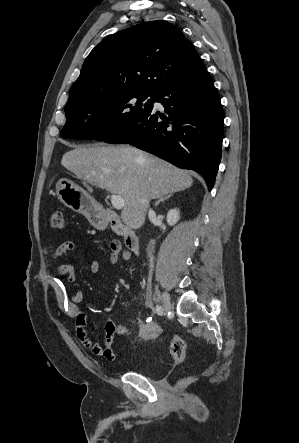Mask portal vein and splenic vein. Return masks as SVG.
<instances>
[{"label": "portal vein and splenic vein", "instance_id": "18ae733b", "mask_svg": "<svg viewBox=\"0 0 299 443\" xmlns=\"http://www.w3.org/2000/svg\"><path fill=\"white\" fill-rule=\"evenodd\" d=\"M111 203L112 206L117 210H121L125 206L124 199L121 196L115 194L111 195Z\"/></svg>", "mask_w": 299, "mask_h": 443}]
</instances>
